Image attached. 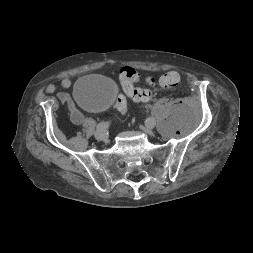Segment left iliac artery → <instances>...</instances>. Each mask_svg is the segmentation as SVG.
<instances>
[{"instance_id":"left-iliac-artery-1","label":"left iliac artery","mask_w":253,"mask_h":253,"mask_svg":"<svg viewBox=\"0 0 253 253\" xmlns=\"http://www.w3.org/2000/svg\"><path fill=\"white\" fill-rule=\"evenodd\" d=\"M146 125L154 127L156 125V120L153 117L146 119Z\"/></svg>"}]
</instances>
